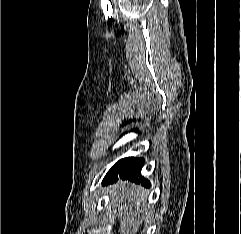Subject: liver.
Masks as SVG:
<instances>
[{
	"mask_svg": "<svg viewBox=\"0 0 241 234\" xmlns=\"http://www.w3.org/2000/svg\"><path fill=\"white\" fill-rule=\"evenodd\" d=\"M109 193L111 195L109 204L116 203L117 209L113 208V215L120 221L119 232L121 234L138 232L147 215V208L144 206L145 190L132 183L118 182L110 187Z\"/></svg>",
	"mask_w": 241,
	"mask_h": 234,
	"instance_id": "liver-1",
	"label": "liver"
}]
</instances>
